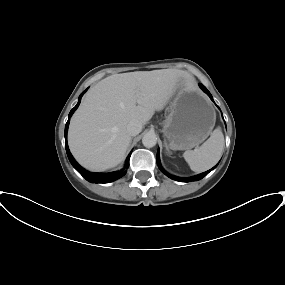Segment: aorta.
Wrapping results in <instances>:
<instances>
[{
	"instance_id": "1",
	"label": "aorta",
	"mask_w": 285,
	"mask_h": 285,
	"mask_svg": "<svg viewBox=\"0 0 285 285\" xmlns=\"http://www.w3.org/2000/svg\"><path fill=\"white\" fill-rule=\"evenodd\" d=\"M142 143L146 148H152L157 143L156 134L153 132L146 133L142 138Z\"/></svg>"
}]
</instances>
